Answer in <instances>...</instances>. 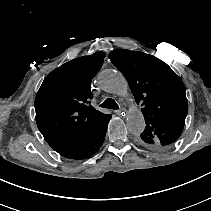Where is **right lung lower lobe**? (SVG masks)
I'll use <instances>...</instances> for the list:
<instances>
[{
  "label": "right lung lower lobe",
  "instance_id": "obj_1",
  "mask_svg": "<svg viewBox=\"0 0 211 211\" xmlns=\"http://www.w3.org/2000/svg\"><path fill=\"white\" fill-rule=\"evenodd\" d=\"M111 115L103 114L91 125L67 133L47 143L61 156L69 159H86L101 147Z\"/></svg>",
  "mask_w": 211,
  "mask_h": 211
}]
</instances>
